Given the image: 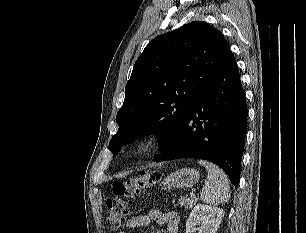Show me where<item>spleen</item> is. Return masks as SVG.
I'll list each match as a JSON object with an SVG mask.
<instances>
[{
	"instance_id": "1",
	"label": "spleen",
	"mask_w": 306,
	"mask_h": 233,
	"mask_svg": "<svg viewBox=\"0 0 306 233\" xmlns=\"http://www.w3.org/2000/svg\"><path fill=\"white\" fill-rule=\"evenodd\" d=\"M199 164L208 171L205 185L201 192V200L208 204L218 205L230 199V186L227 175L218 166L205 160Z\"/></svg>"
}]
</instances>
